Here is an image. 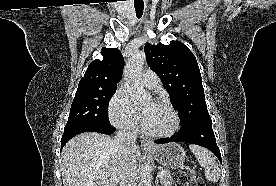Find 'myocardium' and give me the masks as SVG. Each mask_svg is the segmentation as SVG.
Masks as SVG:
<instances>
[{
  "label": "myocardium",
  "instance_id": "obj_1",
  "mask_svg": "<svg viewBox=\"0 0 276 186\" xmlns=\"http://www.w3.org/2000/svg\"><path fill=\"white\" fill-rule=\"evenodd\" d=\"M156 103H159V104H162V105L166 106L172 112V114L174 116V124H173V126L170 130L165 131V132L150 131L149 129H147L145 124H143V131L146 135H148L150 137H154V138H167V137H170V136L174 135L180 127L179 113L175 109V107L169 101H167L165 99H159V100L156 101Z\"/></svg>",
  "mask_w": 276,
  "mask_h": 186
}]
</instances>
